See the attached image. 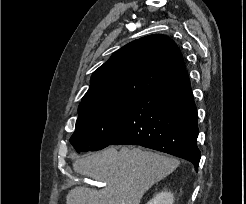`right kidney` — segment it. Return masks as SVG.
Wrapping results in <instances>:
<instances>
[{
	"label": "right kidney",
	"mask_w": 246,
	"mask_h": 204,
	"mask_svg": "<svg viewBox=\"0 0 246 204\" xmlns=\"http://www.w3.org/2000/svg\"><path fill=\"white\" fill-rule=\"evenodd\" d=\"M174 196L171 192L162 191L156 194L147 204H173Z\"/></svg>",
	"instance_id": "1"
}]
</instances>
